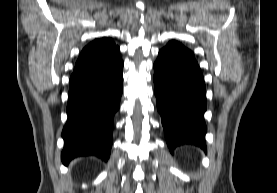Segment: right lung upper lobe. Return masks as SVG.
<instances>
[{
	"label": "right lung upper lobe",
	"instance_id": "cb5924a9",
	"mask_svg": "<svg viewBox=\"0 0 277 193\" xmlns=\"http://www.w3.org/2000/svg\"><path fill=\"white\" fill-rule=\"evenodd\" d=\"M116 48L117 46H115V43L111 38H101L94 40L82 50L76 62V66L96 62L110 54Z\"/></svg>",
	"mask_w": 277,
	"mask_h": 193
}]
</instances>
